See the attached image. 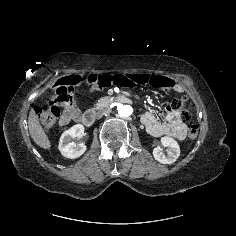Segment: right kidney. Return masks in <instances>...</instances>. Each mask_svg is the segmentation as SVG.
Wrapping results in <instances>:
<instances>
[{"label":"right kidney","mask_w":236,"mask_h":236,"mask_svg":"<svg viewBox=\"0 0 236 236\" xmlns=\"http://www.w3.org/2000/svg\"><path fill=\"white\" fill-rule=\"evenodd\" d=\"M84 133V126L76 124L62 133L59 141V150L62 156L69 159H76L83 155L87 149L84 143H75L74 139L81 137Z\"/></svg>","instance_id":"1"}]
</instances>
